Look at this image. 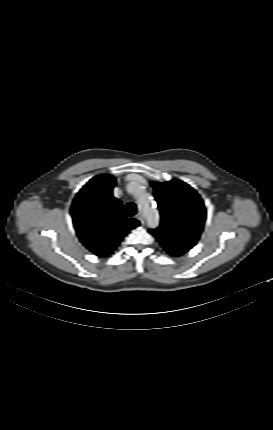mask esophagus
I'll return each mask as SVG.
<instances>
[{"label": "esophagus", "mask_w": 273, "mask_h": 430, "mask_svg": "<svg viewBox=\"0 0 273 430\" xmlns=\"http://www.w3.org/2000/svg\"><path fill=\"white\" fill-rule=\"evenodd\" d=\"M136 218L143 224L144 223V216H143V214L142 213H138L137 215H136Z\"/></svg>", "instance_id": "obj_1"}]
</instances>
